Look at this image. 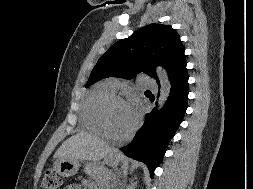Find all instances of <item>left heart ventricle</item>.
Wrapping results in <instances>:
<instances>
[{
    "label": "left heart ventricle",
    "mask_w": 253,
    "mask_h": 189,
    "mask_svg": "<svg viewBox=\"0 0 253 189\" xmlns=\"http://www.w3.org/2000/svg\"><path fill=\"white\" fill-rule=\"evenodd\" d=\"M136 118L131 114L126 103L113 104L108 112V124L116 134L128 132L135 124Z\"/></svg>",
    "instance_id": "left-heart-ventricle-1"
}]
</instances>
